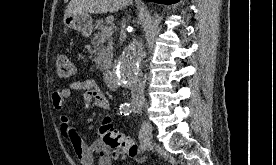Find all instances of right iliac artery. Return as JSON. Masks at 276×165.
I'll use <instances>...</instances> for the list:
<instances>
[{
	"instance_id": "right-iliac-artery-1",
	"label": "right iliac artery",
	"mask_w": 276,
	"mask_h": 165,
	"mask_svg": "<svg viewBox=\"0 0 276 165\" xmlns=\"http://www.w3.org/2000/svg\"><path fill=\"white\" fill-rule=\"evenodd\" d=\"M132 106L129 103H124L120 105V113L122 115H129L132 112ZM139 138L141 141V148L142 150L146 149L148 140H147V132H146V127L145 124L143 123L141 126V129L139 131Z\"/></svg>"
}]
</instances>
